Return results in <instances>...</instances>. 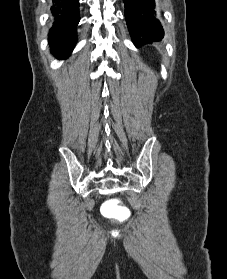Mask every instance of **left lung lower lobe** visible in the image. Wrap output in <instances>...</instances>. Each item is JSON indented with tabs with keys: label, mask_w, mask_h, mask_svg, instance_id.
Segmentation results:
<instances>
[{
	"label": "left lung lower lobe",
	"mask_w": 227,
	"mask_h": 279,
	"mask_svg": "<svg viewBox=\"0 0 227 279\" xmlns=\"http://www.w3.org/2000/svg\"><path fill=\"white\" fill-rule=\"evenodd\" d=\"M123 1L127 26L137 47L163 38L164 30L156 17L154 0Z\"/></svg>",
	"instance_id": "left-lung-lower-lobe-1"
}]
</instances>
